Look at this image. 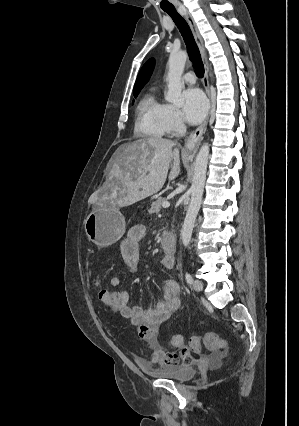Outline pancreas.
Listing matches in <instances>:
<instances>
[{
	"mask_svg": "<svg viewBox=\"0 0 299 426\" xmlns=\"http://www.w3.org/2000/svg\"><path fill=\"white\" fill-rule=\"evenodd\" d=\"M165 202V198H159L158 200L152 202L150 209L148 212L150 214H157L161 210L162 204Z\"/></svg>",
	"mask_w": 299,
	"mask_h": 426,
	"instance_id": "cf45deb5",
	"label": "pancreas"
}]
</instances>
